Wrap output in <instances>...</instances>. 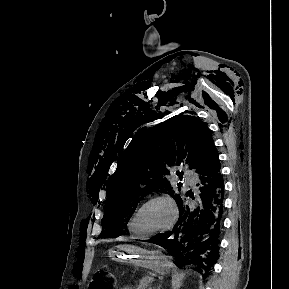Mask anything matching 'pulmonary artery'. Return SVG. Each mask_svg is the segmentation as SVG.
I'll return each mask as SVG.
<instances>
[{
	"mask_svg": "<svg viewBox=\"0 0 289 289\" xmlns=\"http://www.w3.org/2000/svg\"><path fill=\"white\" fill-rule=\"evenodd\" d=\"M185 177L188 179V181L193 182V180H189V178L192 177V174L189 171L185 172Z\"/></svg>",
	"mask_w": 289,
	"mask_h": 289,
	"instance_id": "pulmonary-artery-1",
	"label": "pulmonary artery"
}]
</instances>
